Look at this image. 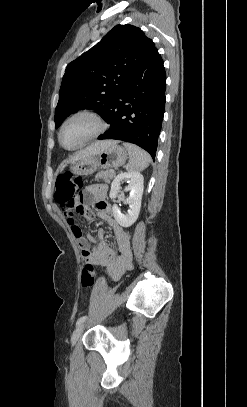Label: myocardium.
I'll use <instances>...</instances> for the list:
<instances>
[{
    "label": "myocardium",
    "instance_id": "obj_1",
    "mask_svg": "<svg viewBox=\"0 0 247 407\" xmlns=\"http://www.w3.org/2000/svg\"><path fill=\"white\" fill-rule=\"evenodd\" d=\"M77 117H88V118L92 119L94 121V123L96 124V130L77 146L70 147V148L65 147L62 144V140H61L63 129L67 125V123H69L71 120H73ZM106 129H107V124L98 112H96L95 110H92V109H80V110H77V111L73 112L72 114H70L61 123V125L59 127V131H58V142H59V145L65 150H68V151L78 150V149L86 146L88 143L92 142L93 140L97 139L99 136H101L106 131Z\"/></svg>",
    "mask_w": 247,
    "mask_h": 407
}]
</instances>
